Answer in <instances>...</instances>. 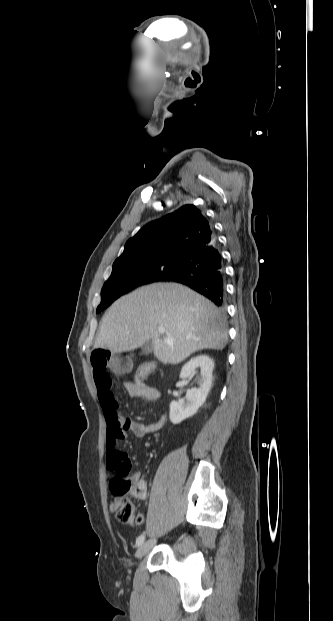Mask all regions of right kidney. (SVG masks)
I'll list each match as a JSON object with an SVG mask.
<instances>
[{"instance_id": "obj_1", "label": "right kidney", "mask_w": 333, "mask_h": 621, "mask_svg": "<svg viewBox=\"0 0 333 621\" xmlns=\"http://www.w3.org/2000/svg\"><path fill=\"white\" fill-rule=\"evenodd\" d=\"M200 369L198 386L187 390L185 398L170 403L169 418L173 424H179L186 418L196 414L204 404L211 389L214 361L208 355L191 358L181 369L180 379H189L195 369Z\"/></svg>"}]
</instances>
